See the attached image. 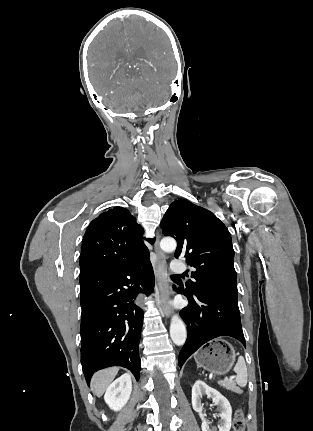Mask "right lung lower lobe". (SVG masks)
<instances>
[{
	"instance_id": "1",
	"label": "right lung lower lobe",
	"mask_w": 313,
	"mask_h": 431,
	"mask_svg": "<svg viewBox=\"0 0 313 431\" xmlns=\"http://www.w3.org/2000/svg\"><path fill=\"white\" fill-rule=\"evenodd\" d=\"M81 364L89 384L94 372L109 366L129 369L139 379V340L143 310L154 274L149 256L124 267L80 276Z\"/></svg>"
}]
</instances>
